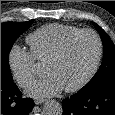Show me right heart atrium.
Segmentation results:
<instances>
[{"label":"right heart atrium","mask_w":115,"mask_h":115,"mask_svg":"<svg viewBox=\"0 0 115 115\" xmlns=\"http://www.w3.org/2000/svg\"><path fill=\"white\" fill-rule=\"evenodd\" d=\"M8 66L20 87L29 86L37 71V64L32 53L23 47L14 44L8 52Z\"/></svg>","instance_id":"1"}]
</instances>
